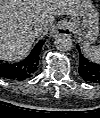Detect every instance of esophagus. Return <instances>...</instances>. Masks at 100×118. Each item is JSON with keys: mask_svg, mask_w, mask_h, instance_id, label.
I'll list each match as a JSON object with an SVG mask.
<instances>
[{"mask_svg": "<svg viewBox=\"0 0 100 118\" xmlns=\"http://www.w3.org/2000/svg\"><path fill=\"white\" fill-rule=\"evenodd\" d=\"M71 28L67 20H63L55 24L50 32L51 37H57L59 35H70Z\"/></svg>", "mask_w": 100, "mask_h": 118, "instance_id": "34e87169", "label": "esophagus"}]
</instances>
